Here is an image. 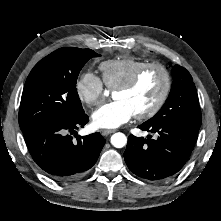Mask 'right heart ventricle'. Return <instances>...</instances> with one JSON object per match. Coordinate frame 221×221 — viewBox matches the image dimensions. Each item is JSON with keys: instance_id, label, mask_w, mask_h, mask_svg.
Segmentation results:
<instances>
[{"instance_id": "1", "label": "right heart ventricle", "mask_w": 221, "mask_h": 221, "mask_svg": "<svg viewBox=\"0 0 221 221\" xmlns=\"http://www.w3.org/2000/svg\"><path fill=\"white\" fill-rule=\"evenodd\" d=\"M145 63L147 62L134 57L104 61L99 65L102 81L109 89H115L128 80Z\"/></svg>"}]
</instances>
